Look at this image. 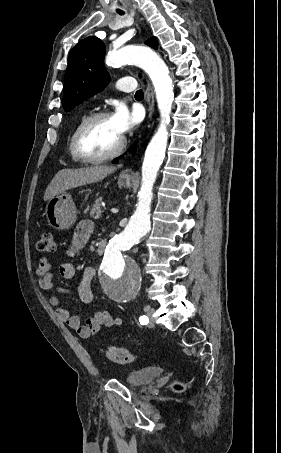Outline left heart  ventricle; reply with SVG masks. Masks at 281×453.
Segmentation results:
<instances>
[{
  "label": "left heart ventricle",
  "mask_w": 281,
  "mask_h": 453,
  "mask_svg": "<svg viewBox=\"0 0 281 453\" xmlns=\"http://www.w3.org/2000/svg\"><path fill=\"white\" fill-rule=\"evenodd\" d=\"M123 137L115 128L111 119L93 124L87 131L83 150L89 156H99L112 151Z\"/></svg>",
  "instance_id": "left-heart-ventricle-1"
}]
</instances>
